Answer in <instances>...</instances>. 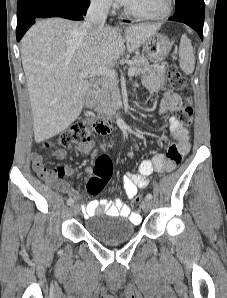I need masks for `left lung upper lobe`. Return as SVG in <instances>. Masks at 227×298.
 <instances>
[{
  "label": "left lung upper lobe",
  "instance_id": "5c2ea615",
  "mask_svg": "<svg viewBox=\"0 0 227 298\" xmlns=\"http://www.w3.org/2000/svg\"><path fill=\"white\" fill-rule=\"evenodd\" d=\"M175 1L178 6H182L186 1H190V0H175ZM193 1H197L200 4H202L203 6H205L204 0H193Z\"/></svg>",
  "mask_w": 227,
  "mask_h": 298
}]
</instances>
